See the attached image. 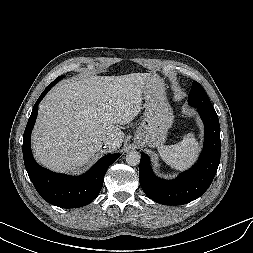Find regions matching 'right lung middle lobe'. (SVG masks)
<instances>
[{
  "mask_svg": "<svg viewBox=\"0 0 253 253\" xmlns=\"http://www.w3.org/2000/svg\"><path fill=\"white\" fill-rule=\"evenodd\" d=\"M63 78V76H60V77H57L53 82H54V84L55 83H57L60 79H62Z\"/></svg>",
  "mask_w": 253,
  "mask_h": 253,
  "instance_id": "dd1d6c3e",
  "label": "right lung middle lobe"
}]
</instances>
